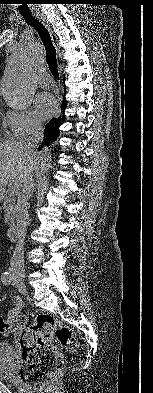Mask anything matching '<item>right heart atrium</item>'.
<instances>
[{
	"instance_id": "right-heart-atrium-1",
	"label": "right heart atrium",
	"mask_w": 153,
	"mask_h": 393,
	"mask_svg": "<svg viewBox=\"0 0 153 393\" xmlns=\"http://www.w3.org/2000/svg\"><path fill=\"white\" fill-rule=\"evenodd\" d=\"M4 124L12 137H24L40 130L41 122L32 109H15L6 113Z\"/></svg>"
}]
</instances>
